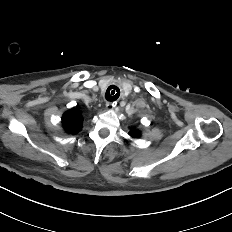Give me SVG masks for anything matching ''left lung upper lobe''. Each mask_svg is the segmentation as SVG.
Listing matches in <instances>:
<instances>
[{"label":"left lung upper lobe","instance_id":"obj_1","mask_svg":"<svg viewBox=\"0 0 232 232\" xmlns=\"http://www.w3.org/2000/svg\"><path fill=\"white\" fill-rule=\"evenodd\" d=\"M129 135L132 137V138H138V137H140V132L138 131V130H131L130 132H129Z\"/></svg>","mask_w":232,"mask_h":232}]
</instances>
